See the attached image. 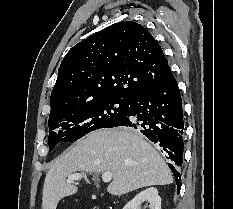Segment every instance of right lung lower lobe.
<instances>
[{
  "label": "right lung lower lobe",
  "instance_id": "1",
  "mask_svg": "<svg viewBox=\"0 0 233 209\" xmlns=\"http://www.w3.org/2000/svg\"><path fill=\"white\" fill-rule=\"evenodd\" d=\"M136 129L161 147L180 190L184 121L182 99L172 72L156 87L133 96L124 119L110 127Z\"/></svg>",
  "mask_w": 233,
  "mask_h": 209
}]
</instances>
